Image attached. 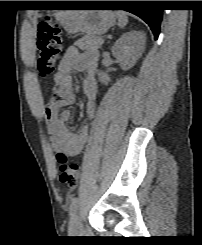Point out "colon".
<instances>
[{
    "label": "colon",
    "instance_id": "5ec220e1",
    "mask_svg": "<svg viewBox=\"0 0 202 245\" xmlns=\"http://www.w3.org/2000/svg\"><path fill=\"white\" fill-rule=\"evenodd\" d=\"M36 46L38 74L42 78H47L54 73L62 49L60 28L48 18L43 19L38 24ZM57 158L60 181L76 188L79 185L81 176L80 165L77 162L69 161L65 153L57 154Z\"/></svg>",
    "mask_w": 202,
    "mask_h": 245
}]
</instances>
